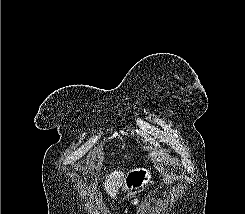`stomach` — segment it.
<instances>
[{
	"label": "stomach",
	"instance_id": "0dacf381",
	"mask_svg": "<svg viewBox=\"0 0 245 214\" xmlns=\"http://www.w3.org/2000/svg\"><path fill=\"white\" fill-rule=\"evenodd\" d=\"M152 176L146 168L132 169L125 176L123 187L125 190H140L152 183Z\"/></svg>",
	"mask_w": 245,
	"mask_h": 214
}]
</instances>
